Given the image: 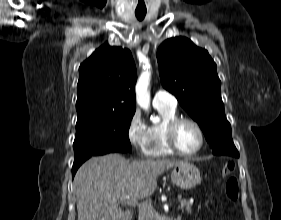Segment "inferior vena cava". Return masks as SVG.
Wrapping results in <instances>:
<instances>
[{
    "label": "inferior vena cava",
    "mask_w": 281,
    "mask_h": 220,
    "mask_svg": "<svg viewBox=\"0 0 281 220\" xmlns=\"http://www.w3.org/2000/svg\"><path fill=\"white\" fill-rule=\"evenodd\" d=\"M139 220H156V213L151 200H145L139 205Z\"/></svg>",
    "instance_id": "inferior-vena-cava-1"
}]
</instances>
